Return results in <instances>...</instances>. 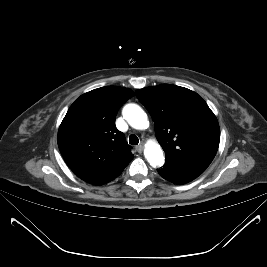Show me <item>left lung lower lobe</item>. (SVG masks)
<instances>
[{
	"label": "left lung lower lobe",
	"instance_id": "obj_1",
	"mask_svg": "<svg viewBox=\"0 0 267 267\" xmlns=\"http://www.w3.org/2000/svg\"><path fill=\"white\" fill-rule=\"evenodd\" d=\"M157 171L159 172L161 177L175 184L188 183L200 175V173L190 170L188 168H184L167 162L162 168L157 169Z\"/></svg>",
	"mask_w": 267,
	"mask_h": 267
}]
</instances>
